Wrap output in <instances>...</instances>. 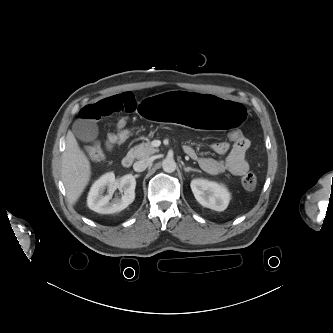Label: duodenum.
<instances>
[{
  "mask_svg": "<svg viewBox=\"0 0 333 333\" xmlns=\"http://www.w3.org/2000/svg\"><path fill=\"white\" fill-rule=\"evenodd\" d=\"M121 164L125 168H129L133 164V156L132 155H126L123 157Z\"/></svg>",
  "mask_w": 333,
  "mask_h": 333,
  "instance_id": "obj_1",
  "label": "duodenum"
}]
</instances>
